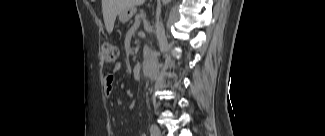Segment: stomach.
Returning <instances> with one entry per match:
<instances>
[{"instance_id": "1", "label": "stomach", "mask_w": 325, "mask_h": 136, "mask_svg": "<svg viewBox=\"0 0 325 136\" xmlns=\"http://www.w3.org/2000/svg\"><path fill=\"white\" fill-rule=\"evenodd\" d=\"M134 9L133 8H126L124 12L119 14V19L122 22L128 21L134 14Z\"/></svg>"}]
</instances>
